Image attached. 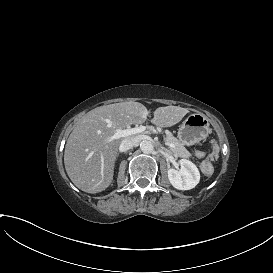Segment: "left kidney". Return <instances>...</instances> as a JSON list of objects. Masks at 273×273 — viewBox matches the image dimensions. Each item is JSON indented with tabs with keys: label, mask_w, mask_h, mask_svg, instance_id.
Instances as JSON below:
<instances>
[{
	"label": "left kidney",
	"mask_w": 273,
	"mask_h": 273,
	"mask_svg": "<svg viewBox=\"0 0 273 273\" xmlns=\"http://www.w3.org/2000/svg\"><path fill=\"white\" fill-rule=\"evenodd\" d=\"M180 170L169 169L167 171L168 180L171 185L178 190H191L199 182L200 175L197 167L189 160L179 161Z\"/></svg>",
	"instance_id": "1"
}]
</instances>
